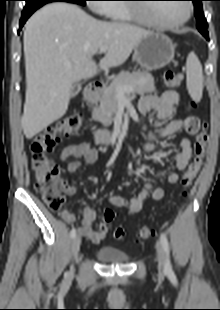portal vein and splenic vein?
Here are the masks:
<instances>
[{"instance_id":"18ae733b","label":"portal vein and splenic vein","mask_w":220,"mask_h":310,"mask_svg":"<svg viewBox=\"0 0 220 310\" xmlns=\"http://www.w3.org/2000/svg\"><path fill=\"white\" fill-rule=\"evenodd\" d=\"M107 51V48L106 47H101L99 49V53L103 54ZM133 91V88L132 87H122V86H118L116 88V95L118 98H122L124 97V94L125 93H130Z\"/></svg>"}]
</instances>
